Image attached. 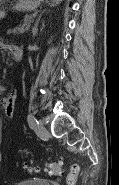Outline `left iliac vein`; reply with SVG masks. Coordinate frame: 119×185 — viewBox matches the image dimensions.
I'll return each instance as SVG.
<instances>
[{
	"instance_id": "left-iliac-vein-1",
	"label": "left iliac vein",
	"mask_w": 119,
	"mask_h": 185,
	"mask_svg": "<svg viewBox=\"0 0 119 185\" xmlns=\"http://www.w3.org/2000/svg\"><path fill=\"white\" fill-rule=\"evenodd\" d=\"M38 133L41 134V135L46 133L44 123L41 120H39V122H38Z\"/></svg>"
}]
</instances>
